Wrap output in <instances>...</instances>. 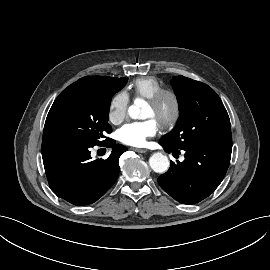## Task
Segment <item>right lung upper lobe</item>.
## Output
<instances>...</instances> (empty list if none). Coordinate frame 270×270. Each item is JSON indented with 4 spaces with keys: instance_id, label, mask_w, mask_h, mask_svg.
<instances>
[{
    "instance_id": "1",
    "label": "right lung upper lobe",
    "mask_w": 270,
    "mask_h": 270,
    "mask_svg": "<svg viewBox=\"0 0 270 270\" xmlns=\"http://www.w3.org/2000/svg\"><path fill=\"white\" fill-rule=\"evenodd\" d=\"M114 77L108 76H89L79 79L77 82L73 83L71 86L85 84V83H95V82H107L112 80Z\"/></svg>"
}]
</instances>
